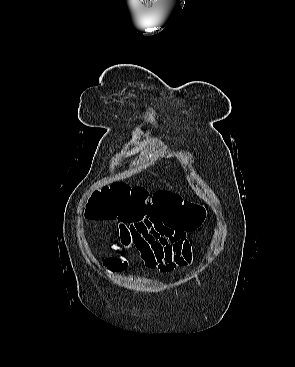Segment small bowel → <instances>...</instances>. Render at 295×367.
I'll list each match as a JSON object with an SVG mask.
<instances>
[{"label":"small bowel","instance_id":"c3829d8e","mask_svg":"<svg viewBox=\"0 0 295 367\" xmlns=\"http://www.w3.org/2000/svg\"><path fill=\"white\" fill-rule=\"evenodd\" d=\"M188 232L167 221L122 222L118 224V246L115 250L136 249L148 269L172 273L193 261V242ZM112 272H123L128 267L126 258L117 254L104 260Z\"/></svg>","mask_w":295,"mask_h":367}]
</instances>
